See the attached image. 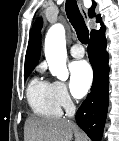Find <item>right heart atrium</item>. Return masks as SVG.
Instances as JSON below:
<instances>
[{
    "mask_svg": "<svg viewBox=\"0 0 119 141\" xmlns=\"http://www.w3.org/2000/svg\"><path fill=\"white\" fill-rule=\"evenodd\" d=\"M53 87L55 95L61 107L69 109L72 106L73 102L66 84L61 81H54Z\"/></svg>",
    "mask_w": 119,
    "mask_h": 141,
    "instance_id": "right-heart-atrium-1",
    "label": "right heart atrium"
}]
</instances>
